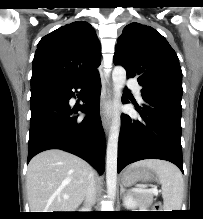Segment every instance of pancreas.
Masks as SVG:
<instances>
[{
	"mask_svg": "<svg viewBox=\"0 0 203 219\" xmlns=\"http://www.w3.org/2000/svg\"><path fill=\"white\" fill-rule=\"evenodd\" d=\"M135 196L145 204H151L153 202V195L150 193H135Z\"/></svg>",
	"mask_w": 203,
	"mask_h": 219,
	"instance_id": "cf45deb5",
	"label": "pancreas"
}]
</instances>
